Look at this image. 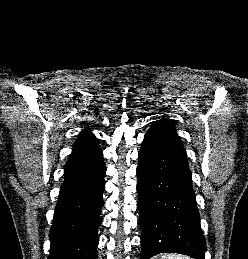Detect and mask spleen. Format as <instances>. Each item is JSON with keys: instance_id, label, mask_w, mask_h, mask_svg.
Returning <instances> with one entry per match:
<instances>
[{"instance_id": "spleen-1", "label": "spleen", "mask_w": 248, "mask_h": 259, "mask_svg": "<svg viewBox=\"0 0 248 259\" xmlns=\"http://www.w3.org/2000/svg\"><path fill=\"white\" fill-rule=\"evenodd\" d=\"M161 259H193L189 256L181 255V254H165L161 257Z\"/></svg>"}]
</instances>
